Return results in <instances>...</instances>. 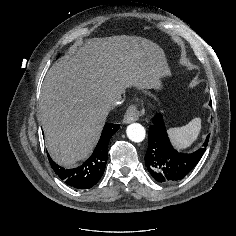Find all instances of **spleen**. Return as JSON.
Returning <instances> with one entry per match:
<instances>
[{
  "label": "spleen",
  "mask_w": 236,
  "mask_h": 236,
  "mask_svg": "<svg viewBox=\"0 0 236 236\" xmlns=\"http://www.w3.org/2000/svg\"><path fill=\"white\" fill-rule=\"evenodd\" d=\"M200 130L201 119L194 118L185 126L169 129L168 133L175 146L185 149L198 138Z\"/></svg>",
  "instance_id": "spleen-1"
}]
</instances>
